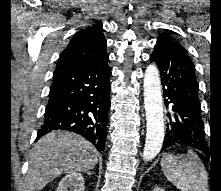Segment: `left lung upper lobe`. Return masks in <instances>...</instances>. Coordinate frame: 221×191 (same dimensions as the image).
Here are the masks:
<instances>
[{
    "mask_svg": "<svg viewBox=\"0 0 221 191\" xmlns=\"http://www.w3.org/2000/svg\"><path fill=\"white\" fill-rule=\"evenodd\" d=\"M159 38H167V37H166L165 34H162ZM203 143L206 144V146H207V143H206V140H205V139H204Z\"/></svg>",
    "mask_w": 221,
    "mask_h": 191,
    "instance_id": "obj_1",
    "label": "left lung upper lobe"
}]
</instances>
